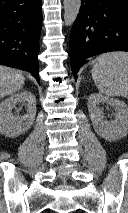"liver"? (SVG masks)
I'll return each instance as SVG.
<instances>
[{
    "instance_id": "6515ba94",
    "label": "liver",
    "mask_w": 128,
    "mask_h": 213,
    "mask_svg": "<svg viewBox=\"0 0 128 213\" xmlns=\"http://www.w3.org/2000/svg\"><path fill=\"white\" fill-rule=\"evenodd\" d=\"M25 83V77L18 70L0 65V98L20 90Z\"/></svg>"
}]
</instances>
